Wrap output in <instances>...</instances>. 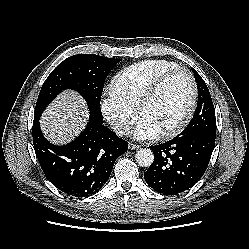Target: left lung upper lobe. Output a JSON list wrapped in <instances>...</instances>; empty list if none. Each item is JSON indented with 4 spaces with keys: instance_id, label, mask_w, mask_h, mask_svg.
Wrapping results in <instances>:
<instances>
[{
    "instance_id": "1",
    "label": "left lung upper lobe",
    "mask_w": 249,
    "mask_h": 249,
    "mask_svg": "<svg viewBox=\"0 0 249 249\" xmlns=\"http://www.w3.org/2000/svg\"><path fill=\"white\" fill-rule=\"evenodd\" d=\"M197 81L198 102L194 116L187 127L179 135H187L197 132L216 135V118L213 102L204 80L192 69Z\"/></svg>"
}]
</instances>
